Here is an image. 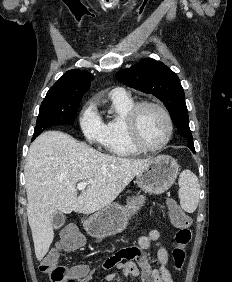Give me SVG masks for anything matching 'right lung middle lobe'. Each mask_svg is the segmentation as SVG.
I'll use <instances>...</instances> for the list:
<instances>
[{
  "instance_id": "dd1d6c3e",
  "label": "right lung middle lobe",
  "mask_w": 232,
  "mask_h": 282,
  "mask_svg": "<svg viewBox=\"0 0 232 282\" xmlns=\"http://www.w3.org/2000/svg\"><path fill=\"white\" fill-rule=\"evenodd\" d=\"M81 99L82 96L45 98L40 106L32 140L50 126L72 125Z\"/></svg>"
}]
</instances>
